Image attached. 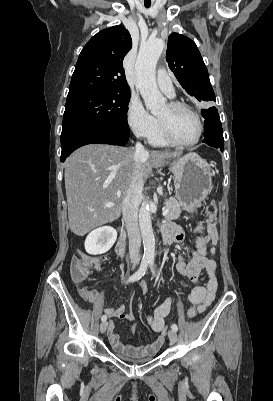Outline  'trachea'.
<instances>
[{"label": "trachea", "instance_id": "trachea-1", "mask_svg": "<svg viewBox=\"0 0 273 401\" xmlns=\"http://www.w3.org/2000/svg\"><path fill=\"white\" fill-rule=\"evenodd\" d=\"M146 7H149L150 5H145Z\"/></svg>", "mask_w": 273, "mask_h": 401}]
</instances>
